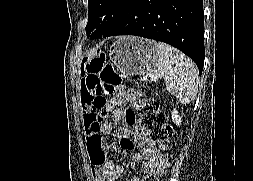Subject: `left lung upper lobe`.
Wrapping results in <instances>:
<instances>
[{"mask_svg":"<svg viewBox=\"0 0 253 181\" xmlns=\"http://www.w3.org/2000/svg\"><path fill=\"white\" fill-rule=\"evenodd\" d=\"M131 0H88L87 37L103 35L121 17Z\"/></svg>","mask_w":253,"mask_h":181,"instance_id":"5c2ea615","label":"left lung upper lobe"}]
</instances>
